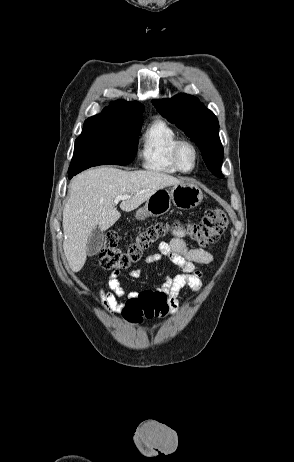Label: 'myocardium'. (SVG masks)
<instances>
[{"mask_svg": "<svg viewBox=\"0 0 294 462\" xmlns=\"http://www.w3.org/2000/svg\"><path fill=\"white\" fill-rule=\"evenodd\" d=\"M184 146H188L192 149L193 151V154H194V162H193V166L190 168V169H185L182 164H181V161H180V153H181V150ZM172 161L175 165V167L180 171V172H183V173H190L192 171H194L198 165V161H199V151H198V148L197 146L189 141V140H184V139H179L174 147H173V150H172Z\"/></svg>", "mask_w": 294, "mask_h": 462, "instance_id": "myocardium-1", "label": "myocardium"}]
</instances>
